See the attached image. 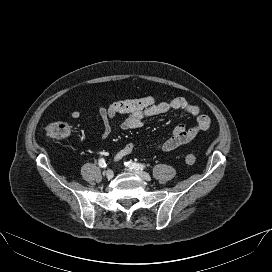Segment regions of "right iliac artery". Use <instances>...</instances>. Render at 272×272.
Instances as JSON below:
<instances>
[{"label":"right iliac artery","instance_id":"obj_1","mask_svg":"<svg viewBox=\"0 0 272 272\" xmlns=\"http://www.w3.org/2000/svg\"><path fill=\"white\" fill-rule=\"evenodd\" d=\"M98 164H99V166L101 168H105L106 167V162H105L104 158H100Z\"/></svg>","mask_w":272,"mask_h":272}]
</instances>
